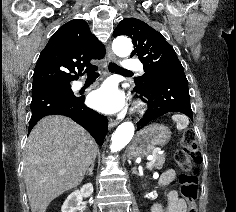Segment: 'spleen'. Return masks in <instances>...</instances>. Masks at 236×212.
I'll return each mask as SVG.
<instances>
[{
  "label": "spleen",
  "mask_w": 236,
  "mask_h": 212,
  "mask_svg": "<svg viewBox=\"0 0 236 212\" xmlns=\"http://www.w3.org/2000/svg\"><path fill=\"white\" fill-rule=\"evenodd\" d=\"M172 120L176 122V128L178 130H183L189 125V119L186 115L175 114L172 116Z\"/></svg>",
  "instance_id": "obj_1"
}]
</instances>
